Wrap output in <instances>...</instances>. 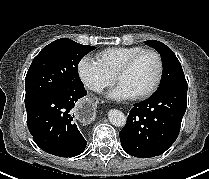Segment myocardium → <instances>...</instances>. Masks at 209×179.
<instances>
[{"instance_id": "f54148a6", "label": "myocardium", "mask_w": 209, "mask_h": 179, "mask_svg": "<svg viewBox=\"0 0 209 179\" xmlns=\"http://www.w3.org/2000/svg\"><path fill=\"white\" fill-rule=\"evenodd\" d=\"M144 54H152L156 57L157 64H158V70H157V75L152 83V85L146 89L145 91L132 96L133 99L140 100V99H145L149 96H151L158 88L162 76H163V71H164V64H163V59L161 54L155 50V49H143L133 56H131L129 59H127L122 66L117 70V72L114 75V80L115 82H118V79L125 74L127 71H129L132 66L136 63V61L142 57Z\"/></svg>"}]
</instances>
